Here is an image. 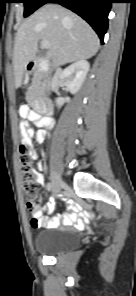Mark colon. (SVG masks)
Listing matches in <instances>:
<instances>
[{"instance_id":"5ec220e1","label":"colon","mask_w":136,"mask_h":296,"mask_svg":"<svg viewBox=\"0 0 136 296\" xmlns=\"http://www.w3.org/2000/svg\"><path fill=\"white\" fill-rule=\"evenodd\" d=\"M20 170L22 175V190L26 205L29 211L33 213L36 210L37 201V175L34 170L35 154L29 141L23 139L21 146ZM33 218V217H32Z\"/></svg>"}]
</instances>
